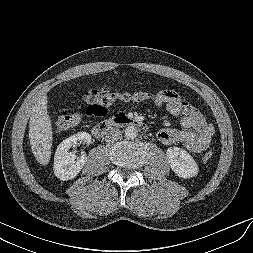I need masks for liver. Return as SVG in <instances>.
Segmentation results:
<instances>
[{
  "label": "liver",
  "instance_id": "obj_1",
  "mask_svg": "<svg viewBox=\"0 0 253 253\" xmlns=\"http://www.w3.org/2000/svg\"><path fill=\"white\" fill-rule=\"evenodd\" d=\"M47 96L43 95L34 106L29 121L30 145L36 160L43 166L51 158L53 142L52 123L47 111Z\"/></svg>",
  "mask_w": 253,
  "mask_h": 253
}]
</instances>
